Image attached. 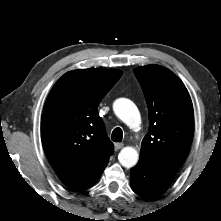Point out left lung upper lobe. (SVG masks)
I'll use <instances>...</instances> for the list:
<instances>
[{"label": "left lung upper lobe", "instance_id": "obj_1", "mask_svg": "<svg viewBox=\"0 0 221 221\" xmlns=\"http://www.w3.org/2000/svg\"><path fill=\"white\" fill-rule=\"evenodd\" d=\"M149 112V130L140 160L175 176L185 161L194 132L193 105L183 82L169 69L148 65L134 69Z\"/></svg>", "mask_w": 221, "mask_h": 221}]
</instances>
